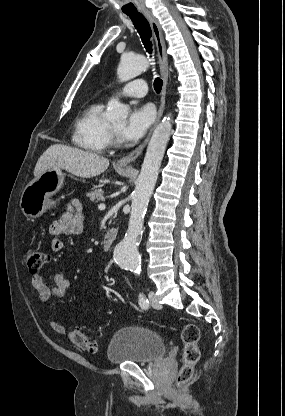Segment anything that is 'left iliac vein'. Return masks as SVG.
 Instances as JSON below:
<instances>
[{"instance_id": "obj_1", "label": "left iliac vein", "mask_w": 285, "mask_h": 416, "mask_svg": "<svg viewBox=\"0 0 285 416\" xmlns=\"http://www.w3.org/2000/svg\"><path fill=\"white\" fill-rule=\"evenodd\" d=\"M149 300H150L151 306L154 309H161L162 308L161 304L158 301L157 296L152 291L149 292Z\"/></svg>"}]
</instances>
